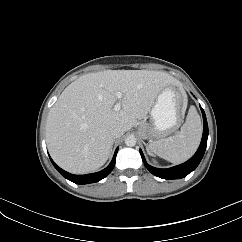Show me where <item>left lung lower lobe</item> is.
Here are the masks:
<instances>
[{
	"label": "left lung lower lobe",
	"instance_id": "0a47b994",
	"mask_svg": "<svg viewBox=\"0 0 242 242\" xmlns=\"http://www.w3.org/2000/svg\"><path fill=\"white\" fill-rule=\"evenodd\" d=\"M201 108V106H200ZM202 115H203V136L200 143V146L197 150V152L193 155L192 158H190L188 161H186L183 164L174 166L172 168L168 169H158L155 167H152L146 163L145 157L140 149V154L142 157V160L145 164V167L155 176L163 178V179H180L185 176H187L190 172L196 169L198 164L200 163L201 159L203 158V155L205 153V149L207 146V138H208V124L206 120V116L204 113V110L201 108Z\"/></svg>",
	"mask_w": 242,
	"mask_h": 242
}]
</instances>
